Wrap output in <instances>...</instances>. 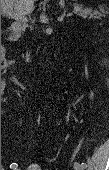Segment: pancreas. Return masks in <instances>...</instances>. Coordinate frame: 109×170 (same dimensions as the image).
I'll list each match as a JSON object with an SVG mask.
<instances>
[{"instance_id": "pancreas-1", "label": "pancreas", "mask_w": 109, "mask_h": 170, "mask_svg": "<svg viewBox=\"0 0 109 170\" xmlns=\"http://www.w3.org/2000/svg\"><path fill=\"white\" fill-rule=\"evenodd\" d=\"M104 12V10L98 11L92 10L90 8H83L79 5H74V13L83 18L88 17L89 19H100L101 17L105 16Z\"/></svg>"}]
</instances>
